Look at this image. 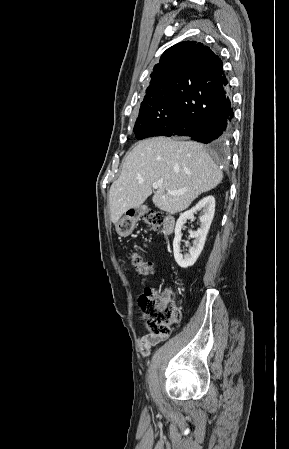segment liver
<instances>
[{
  "instance_id": "liver-1",
  "label": "liver",
  "mask_w": 289,
  "mask_h": 449,
  "mask_svg": "<svg viewBox=\"0 0 289 449\" xmlns=\"http://www.w3.org/2000/svg\"><path fill=\"white\" fill-rule=\"evenodd\" d=\"M223 172L203 145L154 137L139 142L127 155L118 180L109 191L111 221L116 224L131 208L141 206L161 182L152 201L162 211L174 214L187 209L200 194L215 188ZM181 191L172 195L167 191Z\"/></svg>"
}]
</instances>
